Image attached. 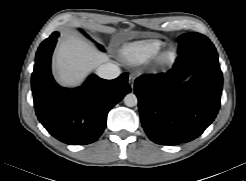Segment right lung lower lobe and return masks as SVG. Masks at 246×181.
Wrapping results in <instances>:
<instances>
[{
  "mask_svg": "<svg viewBox=\"0 0 246 181\" xmlns=\"http://www.w3.org/2000/svg\"><path fill=\"white\" fill-rule=\"evenodd\" d=\"M58 32L43 41L35 58L31 87L37 117L56 139L70 145L96 141L106 126L110 109L131 91L128 74L114 80L91 75L73 90L62 88L54 81L50 62Z\"/></svg>",
  "mask_w": 246,
  "mask_h": 181,
  "instance_id": "right-lung-lower-lobe-1",
  "label": "right lung lower lobe"
}]
</instances>
